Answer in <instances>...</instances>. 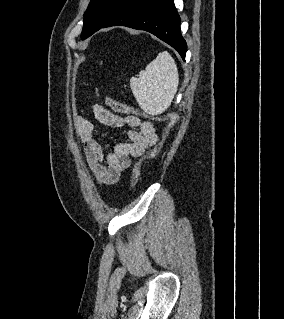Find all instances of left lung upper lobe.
I'll use <instances>...</instances> for the list:
<instances>
[{"instance_id": "1", "label": "left lung upper lobe", "mask_w": 284, "mask_h": 319, "mask_svg": "<svg viewBox=\"0 0 284 319\" xmlns=\"http://www.w3.org/2000/svg\"><path fill=\"white\" fill-rule=\"evenodd\" d=\"M124 0H91L84 13V30L81 38L85 39L101 29L115 14Z\"/></svg>"}]
</instances>
